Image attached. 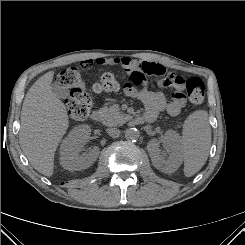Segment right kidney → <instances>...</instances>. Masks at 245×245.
<instances>
[{
  "label": "right kidney",
  "mask_w": 245,
  "mask_h": 245,
  "mask_svg": "<svg viewBox=\"0 0 245 245\" xmlns=\"http://www.w3.org/2000/svg\"><path fill=\"white\" fill-rule=\"evenodd\" d=\"M91 134L88 125L75 127L63 140L60 148V163L66 170L76 171L90 167L99 156V148L94 147L88 153L79 155L80 147Z\"/></svg>",
  "instance_id": "right-kidney-1"
}]
</instances>
